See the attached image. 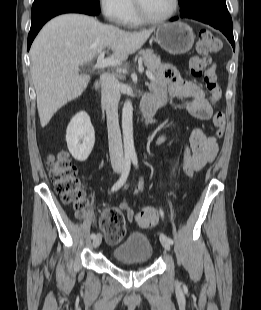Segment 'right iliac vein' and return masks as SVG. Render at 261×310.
Wrapping results in <instances>:
<instances>
[{
    "label": "right iliac vein",
    "mask_w": 261,
    "mask_h": 310,
    "mask_svg": "<svg viewBox=\"0 0 261 310\" xmlns=\"http://www.w3.org/2000/svg\"><path fill=\"white\" fill-rule=\"evenodd\" d=\"M116 172L119 173L120 170L117 169ZM101 241H102V236H101V234H97V235L95 236V238L93 239V247H94V248L99 247V245L101 244Z\"/></svg>",
    "instance_id": "obj_1"
}]
</instances>
